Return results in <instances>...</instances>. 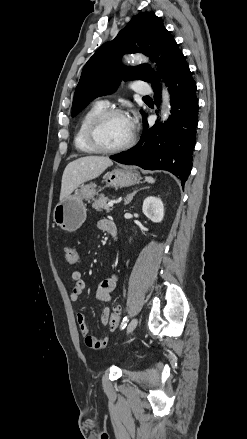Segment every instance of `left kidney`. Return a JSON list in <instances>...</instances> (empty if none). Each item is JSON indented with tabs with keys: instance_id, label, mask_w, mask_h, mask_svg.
<instances>
[{
	"instance_id": "left-kidney-1",
	"label": "left kidney",
	"mask_w": 247,
	"mask_h": 439,
	"mask_svg": "<svg viewBox=\"0 0 247 439\" xmlns=\"http://www.w3.org/2000/svg\"><path fill=\"white\" fill-rule=\"evenodd\" d=\"M144 215L154 223H159L164 217V205L159 197H147L142 206Z\"/></svg>"
}]
</instances>
